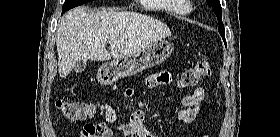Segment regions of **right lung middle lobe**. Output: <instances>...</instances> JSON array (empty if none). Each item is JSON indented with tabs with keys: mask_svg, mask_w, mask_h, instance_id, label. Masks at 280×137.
<instances>
[{
	"mask_svg": "<svg viewBox=\"0 0 280 137\" xmlns=\"http://www.w3.org/2000/svg\"><path fill=\"white\" fill-rule=\"evenodd\" d=\"M89 1H92V0H65L63 9H62V13L68 11L69 9H71L73 7L82 5Z\"/></svg>",
	"mask_w": 280,
	"mask_h": 137,
	"instance_id": "right-lung-middle-lobe-1",
	"label": "right lung middle lobe"
}]
</instances>
